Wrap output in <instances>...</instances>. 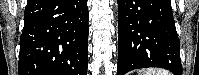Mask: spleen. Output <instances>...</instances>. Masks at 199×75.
<instances>
[{"mask_svg":"<svg viewBox=\"0 0 199 75\" xmlns=\"http://www.w3.org/2000/svg\"><path fill=\"white\" fill-rule=\"evenodd\" d=\"M139 75H171L170 72L164 69L148 68L139 71Z\"/></svg>","mask_w":199,"mask_h":75,"instance_id":"3e777b00","label":"spleen"}]
</instances>
